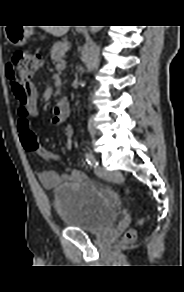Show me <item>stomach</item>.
<instances>
[{
  "label": "stomach",
  "mask_w": 184,
  "mask_h": 292,
  "mask_svg": "<svg viewBox=\"0 0 184 292\" xmlns=\"http://www.w3.org/2000/svg\"><path fill=\"white\" fill-rule=\"evenodd\" d=\"M32 33L33 29L31 27H8L6 38L13 46H23L27 43V40Z\"/></svg>",
  "instance_id": "1"
}]
</instances>
